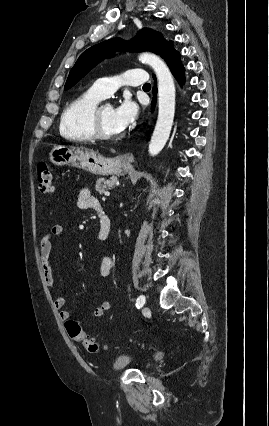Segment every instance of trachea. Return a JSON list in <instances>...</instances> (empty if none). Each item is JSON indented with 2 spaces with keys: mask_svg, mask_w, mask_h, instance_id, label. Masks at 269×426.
<instances>
[{
  "mask_svg": "<svg viewBox=\"0 0 269 426\" xmlns=\"http://www.w3.org/2000/svg\"><path fill=\"white\" fill-rule=\"evenodd\" d=\"M150 87H151V85L149 83H146V84L143 85V88H150Z\"/></svg>",
  "mask_w": 269,
  "mask_h": 426,
  "instance_id": "obj_1",
  "label": "trachea"
}]
</instances>
